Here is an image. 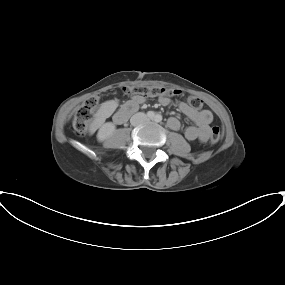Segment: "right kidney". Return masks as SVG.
Masks as SVG:
<instances>
[{
    "mask_svg": "<svg viewBox=\"0 0 285 285\" xmlns=\"http://www.w3.org/2000/svg\"><path fill=\"white\" fill-rule=\"evenodd\" d=\"M116 129V126L114 123L112 122H107L104 123L98 133H97V140L99 142H104L105 140H107L110 136L113 135L114 131Z\"/></svg>",
    "mask_w": 285,
    "mask_h": 285,
    "instance_id": "ca27d5eb",
    "label": "right kidney"
}]
</instances>
